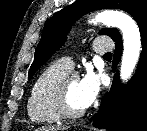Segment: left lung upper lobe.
Here are the masks:
<instances>
[{
	"mask_svg": "<svg viewBox=\"0 0 147 131\" xmlns=\"http://www.w3.org/2000/svg\"><path fill=\"white\" fill-rule=\"evenodd\" d=\"M107 8L128 12L138 26L147 21V0H78L55 13L44 26L28 78L63 45L70 27L78 18L90 11ZM100 34L110 36L113 41L122 39L116 28H104Z\"/></svg>",
	"mask_w": 147,
	"mask_h": 131,
	"instance_id": "1",
	"label": "left lung upper lobe"
}]
</instances>
